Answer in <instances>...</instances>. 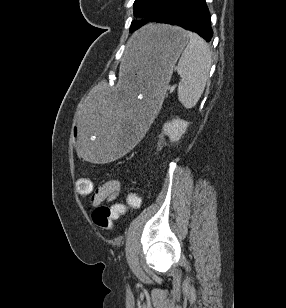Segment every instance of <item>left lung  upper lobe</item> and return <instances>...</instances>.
I'll return each mask as SVG.
<instances>
[{
  "label": "left lung upper lobe",
  "mask_w": 286,
  "mask_h": 308,
  "mask_svg": "<svg viewBox=\"0 0 286 308\" xmlns=\"http://www.w3.org/2000/svg\"><path fill=\"white\" fill-rule=\"evenodd\" d=\"M171 1L172 0H135L134 14L140 17H146L150 21H156L162 11L169 6ZM145 23L146 21L132 23L130 31L136 30Z\"/></svg>",
  "instance_id": "5c2ea615"
}]
</instances>
